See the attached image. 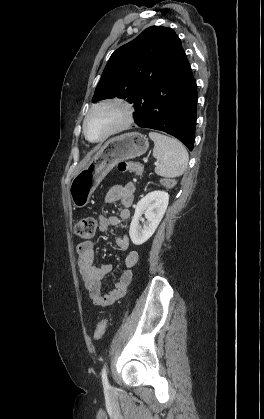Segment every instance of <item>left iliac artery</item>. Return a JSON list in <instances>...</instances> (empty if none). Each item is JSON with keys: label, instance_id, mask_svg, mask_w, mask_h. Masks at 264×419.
<instances>
[{"label": "left iliac artery", "instance_id": "44dca946", "mask_svg": "<svg viewBox=\"0 0 264 419\" xmlns=\"http://www.w3.org/2000/svg\"><path fill=\"white\" fill-rule=\"evenodd\" d=\"M101 375H102L103 385L108 387L109 383H108V379H107L106 365H104V367L102 369V372H101Z\"/></svg>", "mask_w": 264, "mask_h": 419}]
</instances>
